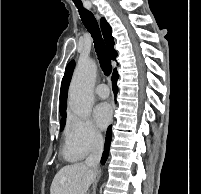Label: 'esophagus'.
<instances>
[{
  "label": "esophagus",
  "mask_w": 201,
  "mask_h": 194,
  "mask_svg": "<svg viewBox=\"0 0 201 194\" xmlns=\"http://www.w3.org/2000/svg\"><path fill=\"white\" fill-rule=\"evenodd\" d=\"M94 11L96 12V15L99 16V15H98V12H97V10H96L95 8H94Z\"/></svg>",
  "instance_id": "1"
}]
</instances>
